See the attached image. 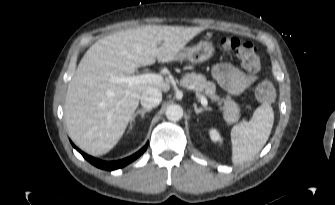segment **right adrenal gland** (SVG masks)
<instances>
[{
    "label": "right adrenal gland",
    "instance_id": "obj_1",
    "mask_svg": "<svg viewBox=\"0 0 335 205\" xmlns=\"http://www.w3.org/2000/svg\"><path fill=\"white\" fill-rule=\"evenodd\" d=\"M151 109H146V108H143V109H140L138 110L137 112H135L130 120V128L132 129L133 127V123L135 122V118L137 117V115H140L141 118L143 119L144 118V115L146 112H150Z\"/></svg>",
    "mask_w": 335,
    "mask_h": 205
}]
</instances>
